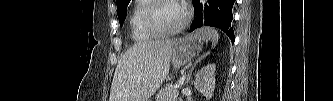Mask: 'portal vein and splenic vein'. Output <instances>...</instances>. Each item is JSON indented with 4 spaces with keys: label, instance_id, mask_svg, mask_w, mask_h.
Segmentation results:
<instances>
[{
    "label": "portal vein and splenic vein",
    "instance_id": "18ae733b",
    "mask_svg": "<svg viewBox=\"0 0 333 101\" xmlns=\"http://www.w3.org/2000/svg\"><path fill=\"white\" fill-rule=\"evenodd\" d=\"M185 76H183L179 82L174 86L175 89L180 88L184 85Z\"/></svg>",
    "mask_w": 333,
    "mask_h": 101
}]
</instances>
